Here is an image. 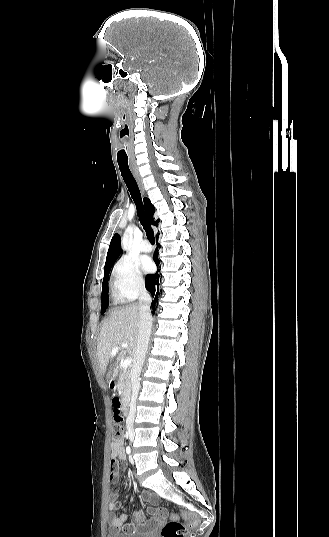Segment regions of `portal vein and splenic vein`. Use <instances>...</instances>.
Here are the masks:
<instances>
[{"instance_id":"1","label":"portal vein and splenic vein","mask_w":329,"mask_h":537,"mask_svg":"<svg viewBox=\"0 0 329 537\" xmlns=\"http://www.w3.org/2000/svg\"><path fill=\"white\" fill-rule=\"evenodd\" d=\"M128 347V343H122L119 347H115L112 351H111V355L112 356H115L118 352V350L120 348H127ZM132 362V359L131 358H126L123 362V366L124 367H128Z\"/></svg>"}]
</instances>
